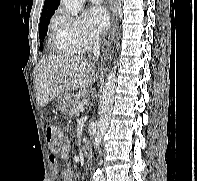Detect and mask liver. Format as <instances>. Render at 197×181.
<instances>
[{
  "mask_svg": "<svg viewBox=\"0 0 197 181\" xmlns=\"http://www.w3.org/2000/svg\"><path fill=\"white\" fill-rule=\"evenodd\" d=\"M95 63L82 56L52 55L34 69L37 104L45 107L64 92L85 88L96 82Z\"/></svg>",
  "mask_w": 197,
  "mask_h": 181,
  "instance_id": "1",
  "label": "liver"
}]
</instances>
